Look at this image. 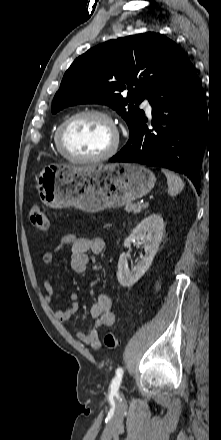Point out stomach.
I'll list each match as a JSON object with an SVG mask.
<instances>
[{
	"label": "stomach",
	"mask_w": 221,
	"mask_h": 440,
	"mask_svg": "<svg viewBox=\"0 0 221 440\" xmlns=\"http://www.w3.org/2000/svg\"><path fill=\"white\" fill-rule=\"evenodd\" d=\"M155 181L152 171L136 164L49 165L37 178V190L48 207L73 206L85 212H97L143 197Z\"/></svg>",
	"instance_id": "stomach-1"
}]
</instances>
